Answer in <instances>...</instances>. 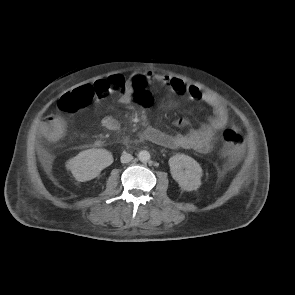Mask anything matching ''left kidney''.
<instances>
[{"mask_svg":"<svg viewBox=\"0 0 295 295\" xmlns=\"http://www.w3.org/2000/svg\"><path fill=\"white\" fill-rule=\"evenodd\" d=\"M168 163L171 175L181 189L193 191L201 186L203 171L196 160L185 154H176Z\"/></svg>","mask_w":295,"mask_h":295,"instance_id":"5707ae66","label":"left kidney"}]
</instances>
